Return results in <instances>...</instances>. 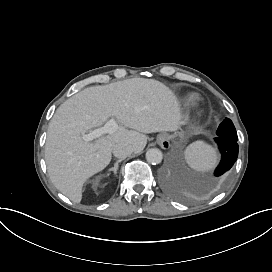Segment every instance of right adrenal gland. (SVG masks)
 Instances as JSON below:
<instances>
[{"label": "right adrenal gland", "instance_id": "right-adrenal-gland-1", "mask_svg": "<svg viewBox=\"0 0 272 272\" xmlns=\"http://www.w3.org/2000/svg\"><path fill=\"white\" fill-rule=\"evenodd\" d=\"M122 160H117V162L114 164V167L110 168L109 171H113L114 174L117 173V169H118V163L121 162Z\"/></svg>", "mask_w": 272, "mask_h": 272}]
</instances>
